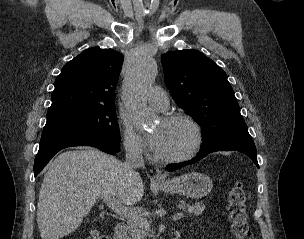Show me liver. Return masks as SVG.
<instances>
[{
    "label": "liver",
    "instance_id": "obj_1",
    "mask_svg": "<svg viewBox=\"0 0 304 239\" xmlns=\"http://www.w3.org/2000/svg\"><path fill=\"white\" fill-rule=\"evenodd\" d=\"M144 195L138 174L125 163L94 148L61 153L49 165L40 188L37 223L42 239H60L80 227L99 198L134 205Z\"/></svg>",
    "mask_w": 304,
    "mask_h": 239
}]
</instances>
